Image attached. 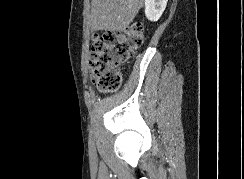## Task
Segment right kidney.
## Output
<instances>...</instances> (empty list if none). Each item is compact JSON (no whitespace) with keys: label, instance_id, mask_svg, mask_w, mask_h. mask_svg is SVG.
I'll return each mask as SVG.
<instances>
[{"label":"right kidney","instance_id":"obj_1","mask_svg":"<svg viewBox=\"0 0 244 179\" xmlns=\"http://www.w3.org/2000/svg\"><path fill=\"white\" fill-rule=\"evenodd\" d=\"M168 0H145V14L151 22H157L161 18Z\"/></svg>","mask_w":244,"mask_h":179}]
</instances>
